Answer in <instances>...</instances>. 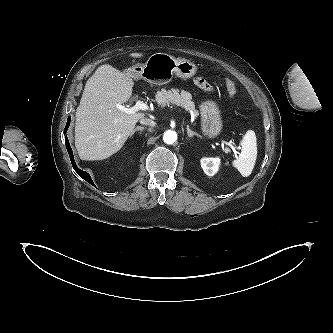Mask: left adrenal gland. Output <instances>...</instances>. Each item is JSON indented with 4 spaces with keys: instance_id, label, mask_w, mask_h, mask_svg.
I'll use <instances>...</instances> for the list:
<instances>
[{
    "instance_id": "a2214340",
    "label": "left adrenal gland",
    "mask_w": 333,
    "mask_h": 333,
    "mask_svg": "<svg viewBox=\"0 0 333 333\" xmlns=\"http://www.w3.org/2000/svg\"><path fill=\"white\" fill-rule=\"evenodd\" d=\"M187 134H188V137L189 138H191V137H193V136H197V137H199V138H201V135H199L198 133H196V132H194L193 130H191L190 128H189V126H187Z\"/></svg>"
}]
</instances>
